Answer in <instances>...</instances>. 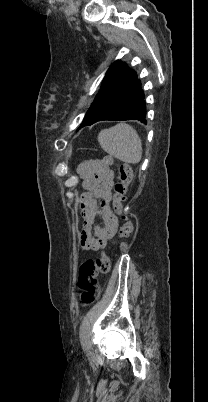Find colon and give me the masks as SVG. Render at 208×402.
I'll return each instance as SVG.
<instances>
[{
    "label": "colon",
    "mask_w": 208,
    "mask_h": 402,
    "mask_svg": "<svg viewBox=\"0 0 208 402\" xmlns=\"http://www.w3.org/2000/svg\"><path fill=\"white\" fill-rule=\"evenodd\" d=\"M105 162L112 164V156H105ZM118 181L114 186L113 207L122 217L117 240L126 239L132 236L134 221L125 215V201L129 185L132 182V170L128 163L122 162L116 166ZM110 270V260L102 252L96 260H84L78 267V287L81 291V301L85 305H93L99 298L101 287L97 281L98 275H107Z\"/></svg>",
    "instance_id": "obj_1"
}]
</instances>
